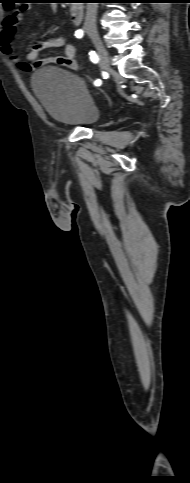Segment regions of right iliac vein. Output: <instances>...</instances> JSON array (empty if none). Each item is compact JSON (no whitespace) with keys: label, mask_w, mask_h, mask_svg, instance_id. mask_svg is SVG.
Returning a JSON list of instances; mask_svg holds the SVG:
<instances>
[{"label":"right iliac vein","mask_w":190,"mask_h":483,"mask_svg":"<svg viewBox=\"0 0 190 483\" xmlns=\"http://www.w3.org/2000/svg\"><path fill=\"white\" fill-rule=\"evenodd\" d=\"M87 32L97 50L101 70L108 71L110 69L108 52L104 47L97 31L94 29H90Z\"/></svg>","instance_id":"obj_1"}]
</instances>
